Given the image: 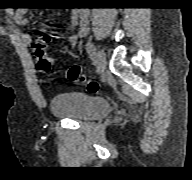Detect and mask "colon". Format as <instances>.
<instances>
[{
	"instance_id": "colon-1",
	"label": "colon",
	"mask_w": 192,
	"mask_h": 180,
	"mask_svg": "<svg viewBox=\"0 0 192 180\" xmlns=\"http://www.w3.org/2000/svg\"><path fill=\"white\" fill-rule=\"evenodd\" d=\"M55 34H48L38 37L33 43V54L37 61V67L42 72H48L51 69L52 63L49 57L47 56V46ZM67 79L72 82H86L84 76L81 73V70L78 66H72L67 70L66 73ZM87 89L91 93L97 92L99 85L95 81H87Z\"/></svg>"
}]
</instances>
